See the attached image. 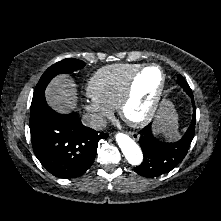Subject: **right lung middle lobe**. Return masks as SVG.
Segmentation results:
<instances>
[{"label": "right lung middle lobe", "mask_w": 221, "mask_h": 221, "mask_svg": "<svg viewBox=\"0 0 221 221\" xmlns=\"http://www.w3.org/2000/svg\"><path fill=\"white\" fill-rule=\"evenodd\" d=\"M84 66L85 62L72 58L64 59L53 64L41 76L38 84L36 85L32 101H35L41 94L44 93L46 86L54 76L61 73H71L75 70L83 68Z\"/></svg>", "instance_id": "obj_1"}]
</instances>
